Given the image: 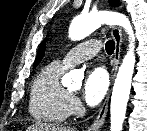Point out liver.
<instances>
[{"label": "liver", "instance_id": "obj_1", "mask_svg": "<svg viewBox=\"0 0 147 131\" xmlns=\"http://www.w3.org/2000/svg\"><path fill=\"white\" fill-rule=\"evenodd\" d=\"M27 131H75L73 128L49 123L37 122L27 128Z\"/></svg>", "mask_w": 147, "mask_h": 131}]
</instances>
